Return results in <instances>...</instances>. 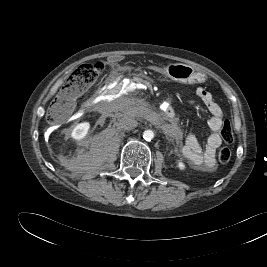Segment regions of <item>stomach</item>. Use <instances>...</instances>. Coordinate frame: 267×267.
I'll use <instances>...</instances> for the list:
<instances>
[{
	"label": "stomach",
	"mask_w": 267,
	"mask_h": 267,
	"mask_svg": "<svg viewBox=\"0 0 267 267\" xmlns=\"http://www.w3.org/2000/svg\"><path fill=\"white\" fill-rule=\"evenodd\" d=\"M158 70L163 72L171 80L180 83H202L206 80L204 74L196 71L193 67L182 63L169 64L164 68H158Z\"/></svg>",
	"instance_id": "1"
}]
</instances>
